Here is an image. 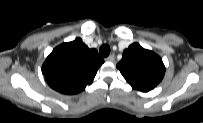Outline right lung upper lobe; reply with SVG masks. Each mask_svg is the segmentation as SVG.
Masks as SVG:
<instances>
[{
    "label": "right lung upper lobe",
    "mask_w": 203,
    "mask_h": 123,
    "mask_svg": "<svg viewBox=\"0 0 203 123\" xmlns=\"http://www.w3.org/2000/svg\"><path fill=\"white\" fill-rule=\"evenodd\" d=\"M103 63L95 49H89L81 38H76L51 52L42 66V73L54 90L76 94L92 82Z\"/></svg>",
    "instance_id": "cb5924a9"
}]
</instances>
